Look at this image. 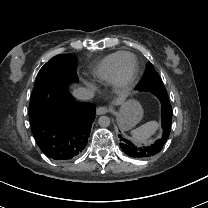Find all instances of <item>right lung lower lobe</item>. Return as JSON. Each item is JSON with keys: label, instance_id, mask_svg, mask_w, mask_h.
I'll return each instance as SVG.
<instances>
[{"label": "right lung lower lobe", "instance_id": "1", "mask_svg": "<svg viewBox=\"0 0 208 208\" xmlns=\"http://www.w3.org/2000/svg\"><path fill=\"white\" fill-rule=\"evenodd\" d=\"M30 118L34 139L49 158L57 161L77 157L87 145L96 108L77 102L67 89L57 85L55 72L47 83L36 87L31 97Z\"/></svg>", "mask_w": 208, "mask_h": 208}]
</instances>
